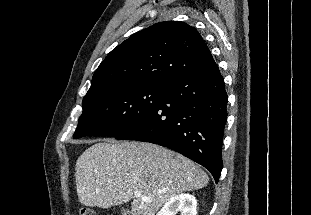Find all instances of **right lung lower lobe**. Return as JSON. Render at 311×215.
Here are the masks:
<instances>
[{"label": "right lung lower lobe", "instance_id": "98d812e1", "mask_svg": "<svg viewBox=\"0 0 311 215\" xmlns=\"http://www.w3.org/2000/svg\"><path fill=\"white\" fill-rule=\"evenodd\" d=\"M164 86L162 102L119 140L150 142L201 164L216 183L222 170V141L228 96L214 62L175 77Z\"/></svg>", "mask_w": 311, "mask_h": 215}]
</instances>
